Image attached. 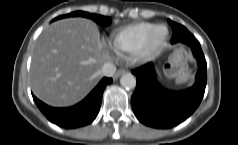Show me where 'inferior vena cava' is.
<instances>
[{"instance_id":"602c4592","label":"inferior vena cava","mask_w":238,"mask_h":145,"mask_svg":"<svg viewBox=\"0 0 238 145\" xmlns=\"http://www.w3.org/2000/svg\"><path fill=\"white\" fill-rule=\"evenodd\" d=\"M116 72V66L111 62H106L101 68V74L106 77H112Z\"/></svg>"}]
</instances>
